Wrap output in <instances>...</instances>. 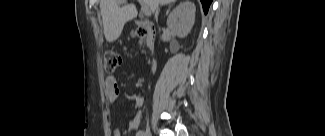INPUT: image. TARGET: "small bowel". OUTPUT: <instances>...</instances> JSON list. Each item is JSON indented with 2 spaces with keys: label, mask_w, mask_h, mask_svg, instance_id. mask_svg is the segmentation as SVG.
Returning <instances> with one entry per match:
<instances>
[{
  "label": "small bowel",
  "mask_w": 325,
  "mask_h": 136,
  "mask_svg": "<svg viewBox=\"0 0 325 136\" xmlns=\"http://www.w3.org/2000/svg\"><path fill=\"white\" fill-rule=\"evenodd\" d=\"M105 92H106V99L109 103H115L120 95V89L118 87L117 80L114 76H108L105 79ZM125 98L129 101H132L134 103V107L136 109V112L132 119L129 121L126 131L135 130L140 126L141 123V107L143 105V97L139 94L133 93V94H125ZM125 131V132H126ZM124 132L116 129L113 131V136H121Z\"/></svg>",
  "instance_id": "small-bowel-1"
}]
</instances>
